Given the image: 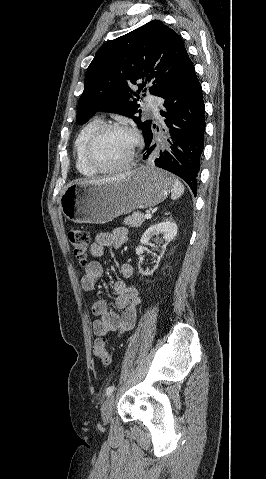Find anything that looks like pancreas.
<instances>
[{"mask_svg":"<svg viewBox=\"0 0 266 479\" xmlns=\"http://www.w3.org/2000/svg\"><path fill=\"white\" fill-rule=\"evenodd\" d=\"M145 221L144 214L142 212H134L124 219V224L131 227H139Z\"/></svg>","mask_w":266,"mask_h":479,"instance_id":"pancreas-1","label":"pancreas"}]
</instances>
